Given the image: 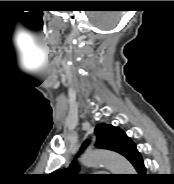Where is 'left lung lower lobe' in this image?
<instances>
[{
	"label": "left lung lower lobe",
	"instance_id": "0a47b994",
	"mask_svg": "<svg viewBox=\"0 0 174 184\" xmlns=\"http://www.w3.org/2000/svg\"><path fill=\"white\" fill-rule=\"evenodd\" d=\"M125 157L133 164L135 169L138 171V176H145V167L140 153L136 149V145H132Z\"/></svg>",
	"mask_w": 174,
	"mask_h": 184
}]
</instances>
